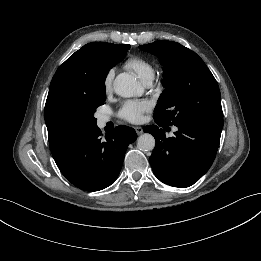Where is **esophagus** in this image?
Returning a JSON list of instances; mask_svg holds the SVG:
<instances>
[{"mask_svg":"<svg viewBox=\"0 0 261 261\" xmlns=\"http://www.w3.org/2000/svg\"><path fill=\"white\" fill-rule=\"evenodd\" d=\"M135 131H136V133H137L138 135H140V134L143 133V128L140 127V126H137V127H135Z\"/></svg>","mask_w":261,"mask_h":261,"instance_id":"34e87169","label":"esophagus"}]
</instances>
